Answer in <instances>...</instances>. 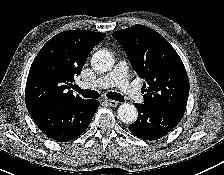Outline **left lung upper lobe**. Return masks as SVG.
Instances as JSON below:
<instances>
[{
	"mask_svg": "<svg viewBox=\"0 0 224 175\" xmlns=\"http://www.w3.org/2000/svg\"><path fill=\"white\" fill-rule=\"evenodd\" d=\"M143 84L144 104L185 112L189 80L177 52L159 33L143 25L113 32Z\"/></svg>",
	"mask_w": 224,
	"mask_h": 175,
	"instance_id": "left-lung-upper-lobe-1",
	"label": "left lung upper lobe"
}]
</instances>
